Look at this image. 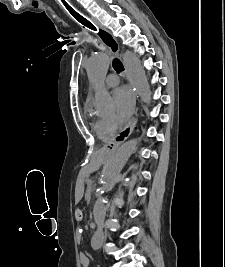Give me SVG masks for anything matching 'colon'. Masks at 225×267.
I'll return each mask as SVG.
<instances>
[{"mask_svg":"<svg viewBox=\"0 0 225 267\" xmlns=\"http://www.w3.org/2000/svg\"><path fill=\"white\" fill-rule=\"evenodd\" d=\"M61 3H63V7L68 10L67 6H69L67 3L64 2V0L61 1ZM71 7V6H70ZM72 8V7H71ZM69 11V10H68ZM83 217L82 211L80 209H76L75 210V219L77 221H81Z\"/></svg>","mask_w":225,"mask_h":267,"instance_id":"obj_1","label":"colon"}]
</instances>
